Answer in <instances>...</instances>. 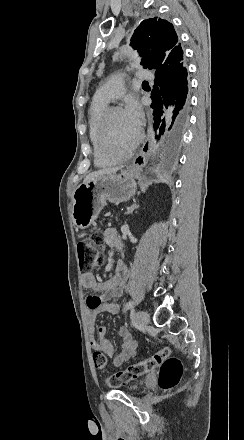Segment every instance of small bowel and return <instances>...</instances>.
I'll return each instance as SVG.
<instances>
[{"label":"small bowel","instance_id":"c3829d8e","mask_svg":"<svg viewBox=\"0 0 244 440\" xmlns=\"http://www.w3.org/2000/svg\"><path fill=\"white\" fill-rule=\"evenodd\" d=\"M104 241L110 247L119 245L120 237L115 228H107L104 231ZM127 270L122 262H118L113 276L105 281L98 280L92 273L82 275L83 286L92 291L87 298V323L90 347L96 351H102L113 359V364L117 367L128 361L136 355V344L131 336L130 330L126 325L121 326L118 331L120 342V351L116 353L114 345L105 338L106 328L99 326L96 329L95 321L99 314L117 313L119 311V302L123 296V290L126 284ZM96 331L99 338H96Z\"/></svg>","mask_w":244,"mask_h":440}]
</instances>
